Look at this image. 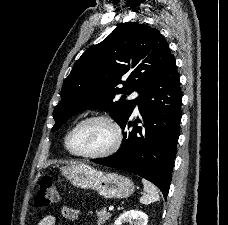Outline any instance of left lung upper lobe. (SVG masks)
Here are the masks:
<instances>
[{
    "label": "left lung upper lobe",
    "instance_id": "obj_1",
    "mask_svg": "<svg viewBox=\"0 0 228 225\" xmlns=\"http://www.w3.org/2000/svg\"><path fill=\"white\" fill-rule=\"evenodd\" d=\"M172 56L157 29L138 22L120 24L75 62L64 81L61 101L54 109L52 131L58 130L69 117L90 108L109 111L121 125L135 103L125 100L124 95L132 91L141 93ZM119 94L124 95L116 100Z\"/></svg>",
    "mask_w": 228,
    "mask_h": 225
}]
</instances>
